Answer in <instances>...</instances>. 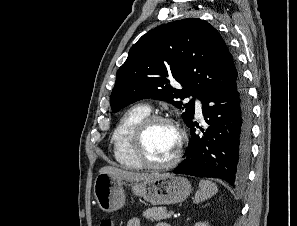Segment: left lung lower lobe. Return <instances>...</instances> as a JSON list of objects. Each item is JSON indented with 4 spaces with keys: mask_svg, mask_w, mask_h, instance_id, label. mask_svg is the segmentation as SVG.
<instances>
[{
    "mask_svg": "<svg viewBox=\"0 0 297 226\" xmlns=\"http://www.w3.org/2000/svg\"><path fill=\"white\" fill-rule=\"evenodd\" d=\"M207 127L192 119L191 139L185 160L173 171L198 177L227 181L233 187L242 185L250 160L252 107L243 80L235 87H212L199 96ZM196 128L202 133L197 134Z\"/></svg>",
    "mask_w": 297,
    "mask_h": 226,
    "instance_id": "obj_1",
    "label": "left lung lower lobe"
}]
</instances>
